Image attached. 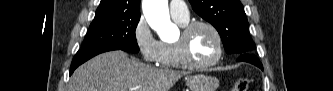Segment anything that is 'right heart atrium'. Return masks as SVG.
<instances>
[{
	"label": "right heart atrium",
	"mask_w": 333,
	"mask_h": 91,
	"mask_svg": "<svg viewBox=\"0 0 333 91\" xmlns=\"http://www.w3.org/2000/svg\"><path fill=\"white\" fill-rule=\"evenodd\" d=\"M132 35L143 60L158 64L161 56V42L154 36L143 16L134 25Z\"/></svg>",
	"instance_id": "d8ad5b80"
}]
</instances>
